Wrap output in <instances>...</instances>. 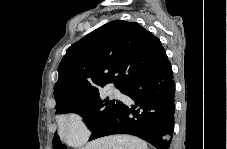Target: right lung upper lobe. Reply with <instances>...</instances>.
Instances as JSON below:
<instances>
[{
  "label": "right lung upper lobe",
  "mask_w": 227,
  "mask_h": 149,
  "mask_svg": "<svg viewBox=\"0 0 227 149\" xmlns=\"http://www.w3.org/2000/svg\"><path fill=\"white\" fill-rule=\"evenodd\" d=\"M166 60L161 41L138 23L109 22L67 49L54 86L55 108L108 83L125 88Z\"/></svg>",
  "instance_id": "cb5924a9"
}]
</instances>
